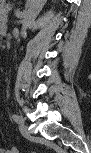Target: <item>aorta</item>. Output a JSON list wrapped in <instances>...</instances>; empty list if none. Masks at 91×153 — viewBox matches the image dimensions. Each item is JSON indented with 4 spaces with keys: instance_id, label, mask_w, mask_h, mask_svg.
I'll use <instances>...</instances> for the list:
<instances>
[{
    "instance_id": "762f6f07",
    "label": "aorta",
    "mask_w": 91,
    "mask_h": 153,
    "mask_svg": "<svg viewBox=\"0 0 91 153\" xmlns=\"http://www.w3.org/2000/svg\"><path fill=\"white\" fill-rule=\"evenodd\" d=\"M45 0H29L26 10V15L22 22V29L20 35L23 36L26 33L27 28L31 25V23L38 16L40 11L44 6ZM17 42H20V38H18Z\"/></svg>"
}]
</instances>
